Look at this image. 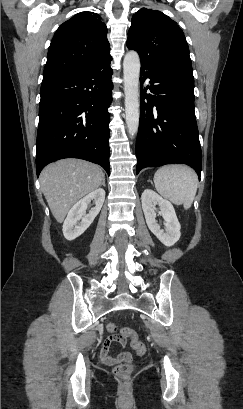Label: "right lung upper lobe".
I'll use <instances>...</instances> for the list:
<instances>
[{
    "label": "right lung upper lobe",
    "instance_id": "cb5924a9",
    "mask_svg": "<svg viewBox=\"0 0 243 409\" xmlns=\"http://www.w3.org/2000/svg\"><path fill=\"white\" fill-rule=\"evenodd\" d=\"M108 58L111 55L105 23L96 13L80 12L55 32L43 81L82 72Z\"/></svg>",
    "mask_w": 243,
    "mask_h": 409
}]
</instances>
